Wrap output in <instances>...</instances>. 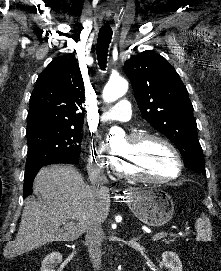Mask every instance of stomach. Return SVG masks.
Here are the masks:
<instances>
[{
    "label": "stomach",
    "mask_w": 221,
    "mask_h": 271,
    "mask_svg": "<svg viewBox=\"0 0 221 271\" xmlns=\"http://www.w3.org/2000/svg\"><path fill=\"white\" fill-rule=\"evenodd\" d=\"M126 203L132 213L146 225H164L173 217V201L161 189L131 187L126 193Z\"/></svg>",
    "instance_id": "0dacf381"
}]
</instances>
